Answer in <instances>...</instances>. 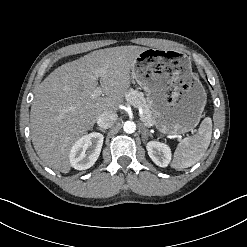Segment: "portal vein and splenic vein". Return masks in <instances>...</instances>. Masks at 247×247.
Returning a JSON list of instances; mask_svg holds the SVG:
<instances>
[{
    "instance_id": "obj_1",
    "label": "portal vein and splenic vein",
    "mask_w": 247,
    "mask_h": 247,
    "mask_svg": "<svg viewBox=\"0 0 247 247\" xmlns=\"http://www.w3.org/2000/svg\"><path fill=\"white\" fill-rule=\"evenodd\" d=\"M99 74H100V71H96V72H95V76H96V77H98ZM101 94H102V89H101L100 86H98V87L94 90L92 96H93V97H99V96H101ZM141 117H142V112H141Z\"/></svg>"
}]
</instances>
